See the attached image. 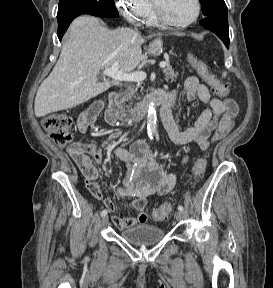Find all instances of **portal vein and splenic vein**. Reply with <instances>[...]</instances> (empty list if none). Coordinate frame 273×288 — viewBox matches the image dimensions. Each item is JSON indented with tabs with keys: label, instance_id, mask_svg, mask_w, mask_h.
<instances>
[{
	"label": "portal vein and splenic vein",
	"instance_id": "18ae733b",
	"mask_svg": "<svg viewBox=\"0 0 273 288\" xmlns=\"http://www.w3.org/2000/svg\"><path fill=\"white\" fill-rule=\"evenodd\" d=\"M166 66L165 62L160 63V67L164 68ZM103 75L110 77L118 81H127V82H140L146 78V73L143 71H136L132 73H123L119 71L117 63L112 65L110 68H106L103 71Z\"/></svg>",
	"mask_w": 273,
	"mask_h": 288
}]
</instances>
